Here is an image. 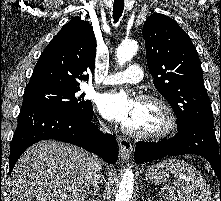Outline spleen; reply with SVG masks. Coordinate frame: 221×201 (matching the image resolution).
<instances>
[{
    "mask_svg": "<svg viewBox=\"0 0 221 201\" xmlns=\"http://www.w3.org/2000/svg\"><path fill=\"white\" fill-rule=\"evenodd\" d=\"M165 167L176 178L169 194V201H211V190L201 173L187 162L169 158L157 164ZM164 195V193L161 192Z\"/></svg>",
    "mask_w": 221,
    "mask_h": 201,
    "instance_id": "3e777b00",
    "label": "spleen"
}]
</instances>
